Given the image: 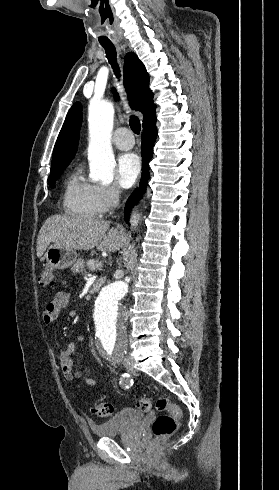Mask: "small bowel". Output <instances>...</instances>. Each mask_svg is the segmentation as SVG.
<instances>
[{"instance_id":"c3829d8e","label":"small bowel","mask_w":279,"mask_h":490,"mask_svg":"<svg viewBox=\"0 0 279 490\" xmlns=\"http://www.w3.org/2000/svg\"><path fill=\"white\" fill-rule=\"evenodd\" d=\"M70 303V294L65 291L57 292L53 299L47 304L44 312H43V320L44 322L53 321L59 312L63 309H66ZM84 342L83 336H77L73 341H71L67 348L60 353L59 363L63 372V376L66 380L72 381L75 379H83V373L80 371L73 370V360L72 353L74 350ZM84 381L90 385L95 386L97 384L96 380L92 378H84Z\"/></svg>"}]
</instances>
